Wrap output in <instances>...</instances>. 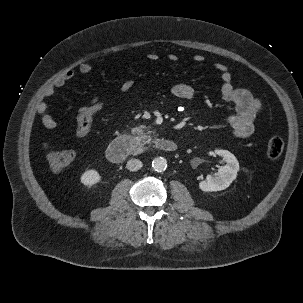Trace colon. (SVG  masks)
I'll use <instances>...</instances> for the list:
<instances>
[{
	"instance_id": "5ec220e1",
	"label": "colon",
	"mask_w": 303,
	"mask_h": 303,
	"mask_svg": "<svg viewBox=\"0 0 303 303\" xmlns=\"http://www.w3.org/2000/svg\"><path fill=\"white\" fill-rule=\"evenodd\" d=\"M103 107V100L95 97L84 107L77 117L75 135L78 139L85 137L90 131L95 116ZM284 149V142L280 135L274 134L270 137L266 147V155L270 160L278 159ZM47 162L54 173L62 172L75 159L76 151L73 148L55 149L50 146L45 148Z\"/></svg>"
}]
</instances>
